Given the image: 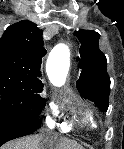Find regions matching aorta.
<instances>
[{
    "label": "aorta",
    "mask_w": 124,
    "mask_h": 149,
    "mask_svg": "<svg viewBox=\"0 0 124 149\" xmlns=\"http://www.w3.org/2000/svg\"><path fill=\"white\" fill-rule=\"evenodd\" d=\"M61 55V63H62V72L66 70V61L68 60V48L66 46H62L60 49ZM56 83H58V79H55Z\"/></svg>",
    "instance_id": "1"
}]
</instances>
